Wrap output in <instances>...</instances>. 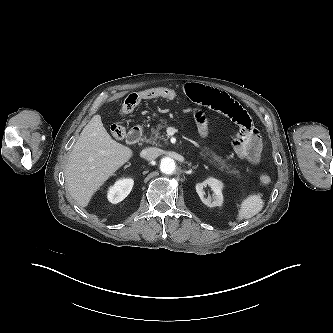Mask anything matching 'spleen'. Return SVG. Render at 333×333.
<instances>
[{
    "mask_svg": "<svg viewBox=\"0 0 333 333\" xmlns=\"http://www.w3.org/2000/svg\"><path fill=\"white\" fill-rule=\"evenodd\" d=\"M264 202L259 195H250L241 203L238 213V221L249 219L259 213L263 208Z\"/></svg>",
    "mask_w": 333,
    "mask_h": 333,
    "instance_id": "3e777b00",
    "label": "spleen"
}]
</instances>
